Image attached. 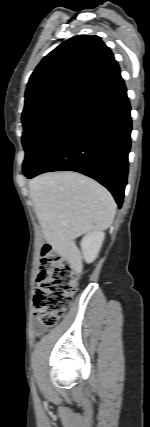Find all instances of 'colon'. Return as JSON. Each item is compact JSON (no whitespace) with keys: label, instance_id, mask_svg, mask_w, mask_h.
Segmentation results:
<instances>
[{"label":"colon","instance_id":"1","mask_svg":"<svg viewBox=\"0 0 150 427\" xmlns=\"http://www.w3.org/2000/svg\"><path fill=\"white\" fill-rule=\"evenodd\" d=\"M79 271L66 258L45 246L33 299L35 318L44 326L58 323L69 307L79 283Z\"/></svg>","mask_w":150,"mask_h":427}]
</instances>
